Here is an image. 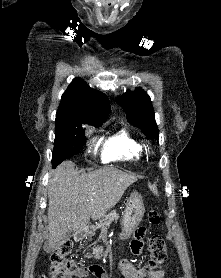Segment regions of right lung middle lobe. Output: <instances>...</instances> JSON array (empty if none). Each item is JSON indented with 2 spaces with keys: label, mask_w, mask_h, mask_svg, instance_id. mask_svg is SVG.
Here are the masks:
<instances>
[{
  "label": "right lung middle lobe",
  "mask_w": 221,
  "mask_h": 278,
  "mask_svg": "<svg viewBox=\"0 0 221 278\" xmlns=\"http://www.w3.org/2000/svg\"><path fill=\"white\" fill-rule=\"evenodd\" d=\"M83 125L101 126V124H87L80 120L56 119L53 167L76 154L83 147L86 141Z\"/></svg>",
  "instance_id": "right-lung-middle-lobe-1"
}]
</instances>
